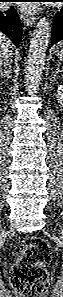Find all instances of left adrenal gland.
I'll return each instance as SVG.
<instances>
[{"instance_id": "obj_1", "label": "left adrenal gland", "mask_w": 63, "mask_h": 297, "mask_svg": "<svg viewBox=\"0 0 63 297\" xmlns=\"http://www.w3.org/2000/svg\"><path fill=\"white\" fill-rule=\"evenodd\" d=\"M61 72L60 70V65H58L57 69H56V72L54 74V76L56 77L58 75V73Z\"/></svg>"}]
</instances>
